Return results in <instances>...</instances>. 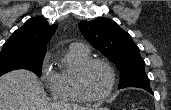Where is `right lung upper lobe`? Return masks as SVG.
<instances>
[{
	"mask_svg": "<svg viewBox=\"0 0 171 110\" xmlns=\"http://www.w3.org/2000/svg\"><path fill=\"white\" fill-rule=\"evenodd\" d=\"M56 29L57 24L49 25L44 18H31L11 35L3 47H16L25 52L44 55L47 43Z\"/></svg>",
	"mask_w": 171,
	"mask_h": 110,
	"instance_id": "1",
	"label": "right lung upper lobe"
}]
</instances>
